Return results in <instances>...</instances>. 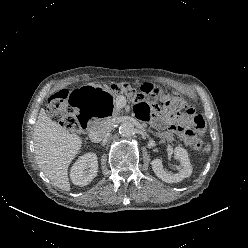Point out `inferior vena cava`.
I'll list each match as a JSON object with an SVG mask.
<instances>
[{"label":"inferior vena cava","instance_id":"602c4592","mask_svg":"<svg viewBox=\"0 0 248 248\" xmlns=\"http://www.w3.org/2000/svg\"><path fill=\"white\" fill-rule=\"evenodd\" d=\"M113 130V123L110 120L96 122L89 133V139L94 143L101 142Z\"/></svg>","mask_w":248,"mask_h":248}]
</instances>
